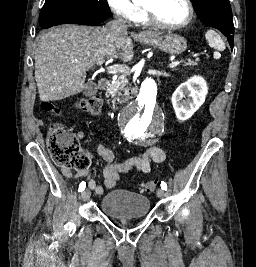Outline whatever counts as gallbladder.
Here are the masks:
<instances>
[{"label":"gallbladder","instance_id":"gallbladder-1","mask_svg":"<svg viewBox=\"0 0 256 267\" xmlns=\"http://www.w3.org/2000/svg\"><path fill=\"white\" fill-rule=\"evenodd\" d=\"M96 92H97L96 84H90V82H88V84H85V86L83 88L84 96H94V94H96Z\"/></svg>","mask_w":256,"mask_h":267}]
</instances>
